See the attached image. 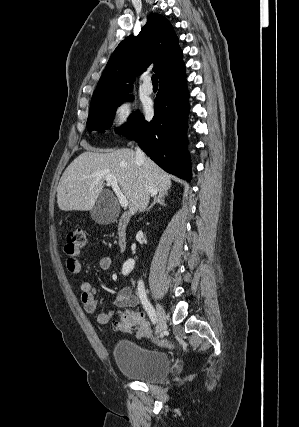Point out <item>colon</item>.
Returning a JSON list of instances; mask_svg holds the SVG:
<instances>
[{
  "mask_svg": "<svg viewBox=\"0 0 299 427\" xmlns=\"http://www.w3.org/2000/svg\"><path fill=\"white\" fill-rule=\"evenodd\" d=\"M86 245V233L83 228H76L71 231L67 236V244L65 246V252L70 255L77 253ZM116 327L121 332H131L136 327H140L142 332L145 334H149L150 328L148 323L143 319V317L136 313L127 311L124 312L119 322H117ZM158 344L160 346H168L169 344L164 340H159Z\"/></svg>",
  "mask_w": 299,
  "mask_h": 427,
  "instance_id": "5ec220e1",
  "label": "colon"
}]
</instances>
